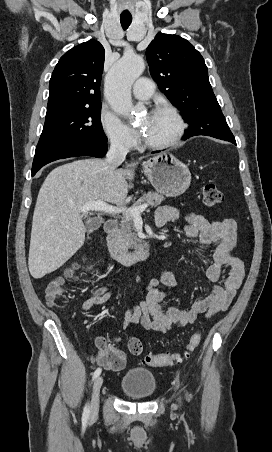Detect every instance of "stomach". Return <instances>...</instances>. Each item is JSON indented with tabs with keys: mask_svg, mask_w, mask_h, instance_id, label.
I'll list each match as a JSON object with an SVG mask.
<instances>
[{
	"mask_svg": "<svg viewBox=\"0 0 272 452\" xmlns=\"http://www.w3.org/2000/svg\"><path fill=\"white\" fill-rule=\"evenodd\" d=\"M143 171L154 189L167 197L183 194L191 183L188 166L168 152L145 161Z\"/></svg>",
	"mask_w": 272,
	"mask_h": 452,
	"instance_id": "1",
	"label": "stomach"
}]
</instances>
